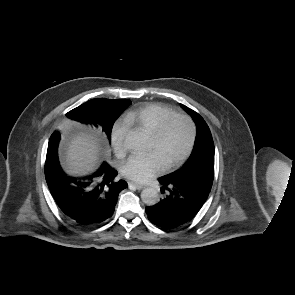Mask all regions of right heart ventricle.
<instances>
[{"label":"right heart ventricle","mask_w":295,"mask_h":295,"mask_svg":"<svg viewBox=\"0 0 295 295\" xmlns=\"http://www.w3.org/2000/svg\"><path fill=\"white\" fill-rule=\"evenodd\" d=\"M176 112L165 105L151 103L143 105L128 112L125 116V124L152 133L159 124L167 117Z\"/></svg>","instance_id":"1"}]
</instances>
